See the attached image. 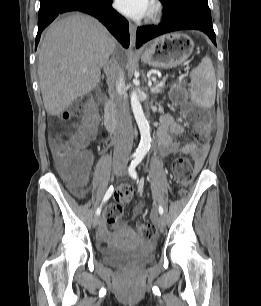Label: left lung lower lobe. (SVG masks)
Returning <instances> with one entry per match:
<instances>
[{
  "mask_svg": "<svg viewBox=\"0 0 261 306\" xmlns=\"http://www.w3.org/2000/svg\"><path fill=\"white\" fill-rule=\"evenodd\" d=\"M164 21L158 26H143L137 29L136 47L165 33L195 29L207 34L214 44L216 36L212 26L207 0H169Z\"/></svg>",
  "mask_w": 261,
  "mask_h": 306,
  "instance_id": "1",
  "label": "left lung lower lobe"
}]
</instances>
